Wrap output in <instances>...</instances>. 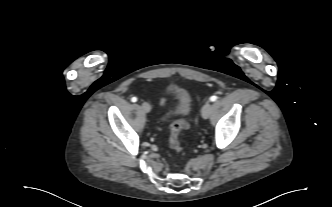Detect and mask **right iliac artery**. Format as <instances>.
I'll return each instance as SVG.
<instances>
[{
    "mask_svg": "<svg viewBox=\"0 0 332 207\" xmlns=\"http://www.w3.org/2000/svg\"><path fill=\"white\" fill-rule=\"evenodd\" d=\"M131 101H132V102H136V101H137V98H136V97H132V98H131Z\"/></svg>",
    "mask_w": 332,
    "mask_h": 207,
    "instance_id": "right-iliac-artery-1",
    "label": "right iliac artery"
}]
</instances>
